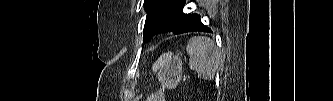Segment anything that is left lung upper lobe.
Masks as SVG:
<instances>
[{
  "instance_id": "left-lung-upper-lobe-1",
  "label": "left lung upper lobe",
  "mask_w": 333,
  "mask_h": 101,
  "mask_svg": "<svg viewBox=\"0 0 333 101\" xmlns=\"http://www.w3.org/2000/svg\"><path fill=\"white\" fill-rule=\"evenodd\" d=\"M147 17L144 26V42L160 33L172 32L184 17L182 8L172 0H145Z\"/></svg>"
}]
</instances>
